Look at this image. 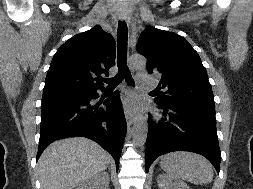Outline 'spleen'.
Listing matches in <instances>:
<instances>
[{
  "mask_svg": "<svg viewBox=\"0 0 253 189\" xmlns=\"http://www.w3.org/2000/svg\"><path fill=\"white\" fill-rule=\"evenodd\" d=\"M161 168L175 180H186L193 184H207L213 180V168L203 156L179 151L161 157Z\"/></svg>",
  "mask_w": 253,
  "mask_h": 189,
  "instance_id": "1",
  "label": "spleen"
}]
</instances>
